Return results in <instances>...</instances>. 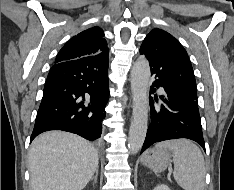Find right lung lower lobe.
Returning a JSON list of instances; mask_svg holds the SVG:
<instances>
[{"label":"right lung lower lobe","mask_w":234,"mask_h":190,"mask_svg":"<svg viewBox=\"0 0 234 190\" xmlns=\"http://www.w3.org/2000/svg\"><path fill=\"white\" fill-rule=\"evenodd\" d=\"M108 87V55L54 64L45 83L31 141L49 130L72 132L90 141L100 138Z\"/></svg>","instance_id":"98d812e1"}]
</instances>
